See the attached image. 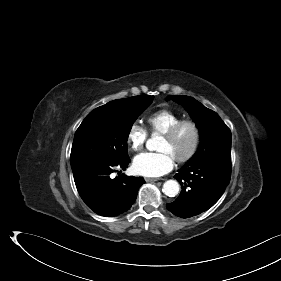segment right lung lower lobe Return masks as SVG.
<instances>
[{"mask_svg": "<svg viewBox=\"0 0 281 281\" xmlns=\"http://www.w3.org/2000/svg\"><path fill=\"white\" fill-rule=\"evenodd\" d=\"M130 158L120 162H90L72 168L78 193L98 215L111 217L127 211L135 202L143 177L111 178L116 167L125 170Z\"/></svg>", "mask_w": 281, "mask_h": 281, "instance_id": "right-lung-lower-lobe-1", "label": "right lung lower lobe"}]
</instances>
